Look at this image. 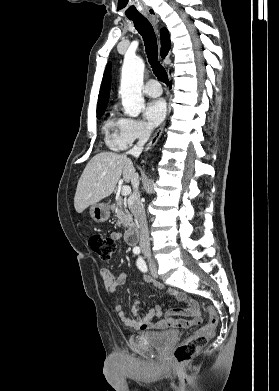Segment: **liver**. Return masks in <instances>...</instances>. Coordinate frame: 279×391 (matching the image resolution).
Here are the masks:
<instances>
[{
	"label": "liver",
	"instance_id": "liver-1",
	"mask_svg": "<svg viewBox=\"0 0 279 391\" xmlns=\"http://www.w3.org/2000/svg\"><path fill=\"white\" fill-rule=\"evenodd\" d=\"M135 169L126 155L101 152L86 165L74 197V207L78 213L90 205L97 204L110 196L123 174L125 182H130Z\"/></svg>",
	"mask_w": 279,
	"mask_h": 391
}]
</instances>
